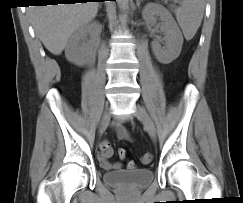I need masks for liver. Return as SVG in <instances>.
Returning a JSON list of instances; mask_svg holds the SVG:
<instances>
[{
    "label": "liver",
    "instance_id": "1",
    "mask_svg": "<svg viewBox=\"0 0 243 203\" xmlns=\"http://www.w3.org/2000/svg\"><path fill=\"white\" fill-rule=\"evenodd\" d=\"M98 7V2L32 6L29 14L44 46L59 55L73 32L95 18Z\"/></svg>",
    "mask_w": 243,
    "mask_h": 203
}]
</instances>
